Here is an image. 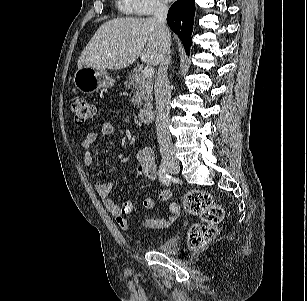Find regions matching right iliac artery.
I'll return each instance as SVG.
<instances>
[{"label": "right iliac artery", "instance_id": "obj_1", "mask_svg": "<svg viewBox=\"0 0 307 301\" xmlns=\"http://www.w3.org/2000/svg\"><path fill=\"white\" fill-rule=\"evenodd\" d=\"M158 176L159 180L162 184L169 186L172 183V178L171 176L166 172V169L163 166V162L159 166L158 170Z\"/></svg>", "mask_w": 307, "mask_h": 301}]
</instances>
